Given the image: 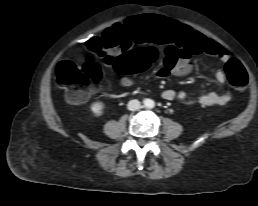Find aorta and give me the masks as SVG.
Here are the masks:
<instances>
[{"mask_svg":"<svg viewBox=\"0 0 258 206\" xmlns=\"http://www.w3.org/2000/svg\"><path fill=\"white\" fill-rule=\"evenodd\" d=\"M148 107H153L154 106V103L151 102L150 104H147Z\"/></svg>","mask_w":258,"mask_h":206,"instance_id":"obj_1","label":"aorta"}]
</instances>
